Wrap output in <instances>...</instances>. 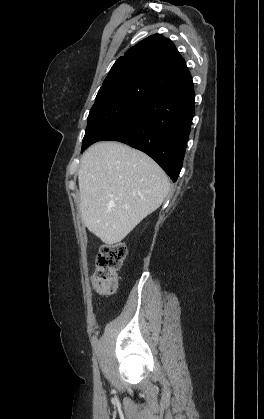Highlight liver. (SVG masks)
Segmentation results:
<instances>
[{
	"label": "liver",
	"instance_id": "obj_1",
	"mask_svg": "<svg viewBox=\"0 0 264 419\" xmlns=\"http://www.w3.org/2000/svg\"><path fill=\"white\" fill-rule=\"evenodd\" d=\"M82 222L103 243L121 242L160 207L170 183L149 156L120 142H98L78 172Z\"/></svg>",
	"mask_w": 264,
	"mask_h": 419
}]
</instances>
